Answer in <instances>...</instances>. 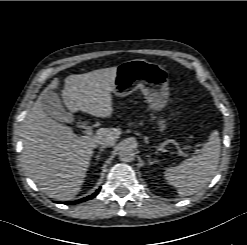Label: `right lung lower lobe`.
<instances>
[{"mask_svg": "<svg viewBox=\"0 0 247 245\" xmlns=\"http://www.w3.org/2000/svg\"><path fill=\"white\" fill-rule=\"evenodd\" d=\"M99 192H100V189H98L95 193H93L90 196H87L85 198H82V199L76 200V201L65 202L64 204H77V203H80V202H84V201L90 200V199L94 198Z\"/></svg>", "mask_w": 247, "mask_h": 245, "instance_id": "obj_1", "label": "right lung lower lobe"}]
</instances>
